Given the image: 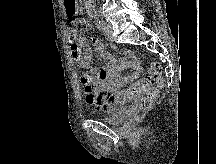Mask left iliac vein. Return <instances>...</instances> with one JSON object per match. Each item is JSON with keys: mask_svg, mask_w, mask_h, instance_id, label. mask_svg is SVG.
<instances>
[{"mask_svg": "<svg viewBox=\"0 0 216 164\" xmlns=\"http://www.w3.org/2000/svg\"><path fill=\"white\" fill-rule=\"evenodd\" d=\"M105 35L108 37V38H112V26L111 25H107V30L105 32Z\"/></svg>", "mask_w": 216, "mask_h": 164, "instance_id": "4c4485c4", "label": "left iliac vein"}]
</instances>
